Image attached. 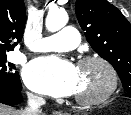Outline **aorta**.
I'll use <instances>...</instances> for the list:
<instances>
[{"instance_id":"obj_1","label":"aorta","mask_w":131,"mask_h":115,"mask_svg":"<svg viewBox=\"0 0 131 115\" xmlns=\"http://www.w3.org/2000/svg\"><path fill=\"white\" fill-rule=\"evenodd\" d=\"M68 22V15L64 10L50 11L46 18V28L56 32L63 28Z\"/></svg>"}]
</instances>
